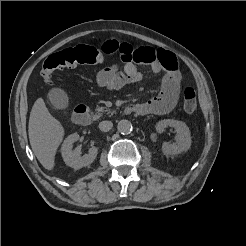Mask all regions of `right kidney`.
<instances>
[{"mask_svg":"<svg viewBox=\"0 0 246 246\" xmlns=\"http://www.w3.org/2000/svg\"><path fill=\"white\" fill-rule=\"evenodd\" d=\"M78 140L79 135L77 133L71 134L64 140L61 147V153L65 164L75 170L93 163L98 154V148L93 146L89 149L88 154L81 156L80 146L73 149V144Z\"/></svg>","mask_w":246,"mask_h":246,"instance_id":"ca27d5eb","label":"right kidney"}]
</instances>
